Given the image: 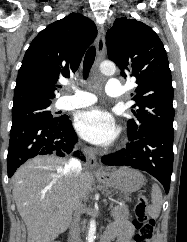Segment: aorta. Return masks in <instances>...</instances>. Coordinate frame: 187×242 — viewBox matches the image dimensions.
<instances>
[{
	"mask_svg": "<svg viewBox=\"0 0 187 242\" xmlns=\"http://www.w3.org/2000/svg\"><path fill=\"white\" fill-rule=\"evenodd\" d=\"M100 71L104 75H113L116 71V66L111 61H104L100 64ZM96 232V223L94 220L90 223V228L87 236V242H94Z\"/></svg>",
	"mask_w": 187,
	"mask_h": 242,
	"instance_id": "1",
	"label": "aorta"
}]
</instances>
